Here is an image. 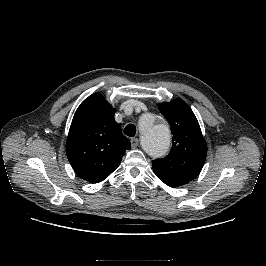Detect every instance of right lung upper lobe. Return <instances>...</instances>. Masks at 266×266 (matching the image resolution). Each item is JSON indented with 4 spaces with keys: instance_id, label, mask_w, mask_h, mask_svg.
Returning a JSON list of instances; mask_svg holds the SVG:
<instances>
[{
    "instance_id": "cb5924a9",
    "label": "right lung upper lobe",
    "mask_w": 266,
    "mask_h": 266,
    "mask_svg": "<svg viewBox=\"0 0 266 266\" xmlns=\"http://www.w3.org/2000/svg\"><path fill=\"white\" fill-rule=\"evenodd\" d=\"M115 109L100 93L78 107L66 141V154L75 173L90 183L107 178L120 164L130 141L114 120Z\"/></svg>"
}]
</instances>
